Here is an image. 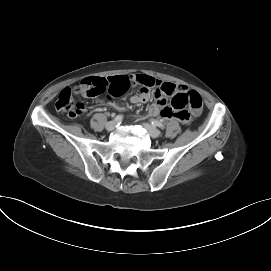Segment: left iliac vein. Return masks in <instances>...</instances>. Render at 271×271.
<instances>
[{
    "label": "left iliac vein",
    "instance_id": "left-iliac-vein-1",
    "mask_svg": "<svg viewBox=\"0 0 271 271\" xmlns=\"http://www.w3.org/2000/svg\"><path fill=\"white\" fill-rule=\"evenodd\" d=\"M143 127L152 138H158L161 135V132L157 128L151 126L148 123H143Z\"/></svg>",
    "mask_w": 271,
    "mask_h": 271
}]
</instances>
